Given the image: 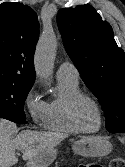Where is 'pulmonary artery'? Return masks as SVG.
I'll list each match as a JSON object with an SVG mask.
<instances>
[{"label": "pulmonary artery", "mask_w": 125, "mask_h": 167, "mask_svg": "<svg viewBox=\"0 0 125 167\" xmlns=\"http://www.w3.org/2000/svg\"><path fill=\"white\" fill-rule=\"evenodd\" d=\"M57 78L58 79H69L78 81L79 72L75 65L72 62H63L59 65L57 69Z\"/></svg>", "instance_id": "pulmonary-artery-1"}]
</instances>
